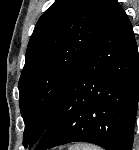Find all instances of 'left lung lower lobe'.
Masks as SVG:
<instances>
[{
    "mask_svg": "<svg viewBox=\"0 0 139 150\" xmlns=\"http://www.w3.org/2000/svg\"><path fill=\"white\" fill-rule=\"evenodd\" d=\"M138 102V48L116 0L35 150L77 141L131 150Z\"/></svg>",
    "mask_w": 139,
    "mask_h": 150,
    "instance_id": "1",
    "label": "left lung lower lobe"
}]
</instances>
